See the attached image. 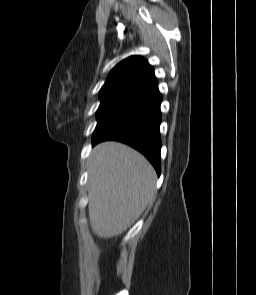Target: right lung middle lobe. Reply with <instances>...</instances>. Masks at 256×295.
I'll list each match as a JSON object with an SVG mask.
<instances>
[{"mask_svg":"<svg viewBox=\"0 0 256 295\" xmlns=\"http://www.w3.org/2000/svg\"><path fill=\"white\" fill-rule=\"evenodd\" d=\"M132 99H117L107 102H102L96 112L97 126L93 132L96 135L101 129L117 116Z\"/></svg>","mask_w":256,"mask_h":295,"instance_id":"right-lung-middle-lobe-1","label":"right lung middle lobe"}]
</instances>
